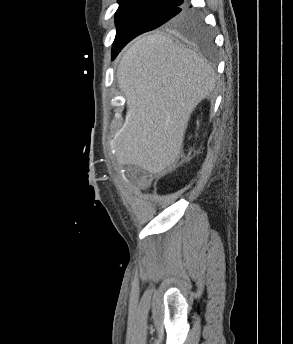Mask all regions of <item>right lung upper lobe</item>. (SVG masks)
I'll return each mask as SVG.
<instances>
[{"label": "right lung upper lobe", "instance_id": "right-lung-upper-lobe-1", "mask_svg": "<svg viewBox=\"0 0 293 344\" xmlns=\"http://www.w3.org/2000/svg\"><path fill=\"white\" fill-rule=\"evenodd\" d=\"M118 2L119 4L157 2V3L171 4V5H181L183 0H118ZM164 27L168 28L167 25H164Z\"/></svg>", "mask_w": 293, "mask_h": 344}]
</instances>
